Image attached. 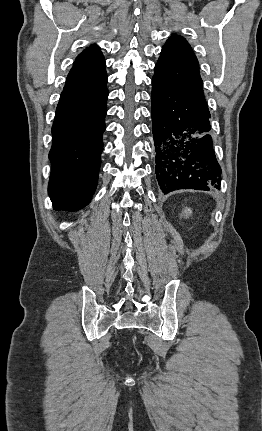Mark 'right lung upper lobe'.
Masks as SVG:
<instances>
[{
  "label": "right lung upper lobe",
  "mask_w": 262,
  "mask_h": 431,
  "mask_svg": "<svg viewBox=\"0 0 262 431\" xmlns=\"http://www.w3.org/2000/svg\"><path fill=\"white\" fill-rule=\"evenodd\" d=\"M105 61L99 47L92 45L79 54L68 74L64 91H92L106 86Z\"/></svg>",
  "instance_id": "obj_1"
}]
</instances>
